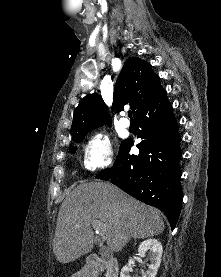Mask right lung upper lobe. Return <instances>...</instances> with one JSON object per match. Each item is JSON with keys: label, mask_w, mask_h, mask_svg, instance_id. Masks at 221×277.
I'll list each match as a JSON object with an SVG mask.
<instances>
[{"label": "right lung upper lobe", "mask_w": 221, "mask_h": 277, "mask_svg": "<svg viewBox=\"0 0 221 277\" xmlns=\"http://www.w3.org/2000/svg\"><path fill=\"white\" fill-rule=\"evenodd\" d=\"M163 91L159 76L152 71L151 65L140 58L130 57L117 79L112 109L120 111L129 103L135 117ZM106 123L111 124V118L104 101L97 93L88 94L74 110L71 134Z\"/></svg>", "instance_id": "right-lung-upper-lobe-1"}]
</instances>
